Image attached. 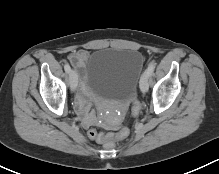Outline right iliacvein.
Instances as JSON below:
<instances>
[{
  "label": "right iliac vein",
  "mask_w": 219,
  "mask_h": 174,
  "mask_svg": "<svg viewBox=\"0 0 219 174\" xmlns=\"http://www.w3.org/2000/svg\"><path fill=\"white\" fill-rule=\"evenodd\" d=\"M69 84L71 91H75L78 84V75L74 70H71L69 73Z\"/></svg>",
  "instance_id": "1"
}]
</instances>
